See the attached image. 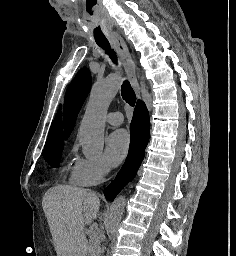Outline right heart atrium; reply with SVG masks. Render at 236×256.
<instances>
[{
    "label": "right heart atrium",
    "mask_w": 236,
    "mask_h": 256,
    "mask_svg": "<svg viewBox=\"0 0 236 256\" xmlns=\"http://www.w3.org/2000/svg\"><path fill=\"white\" fill-rule=\"evenodd\" d=\"M111 171V166L105 157L95 159L75 154L70 173L71 184L80 187H93L103 183Z\"/></svg>",
    "instance_id": "obj_1"
}]
</instances>
